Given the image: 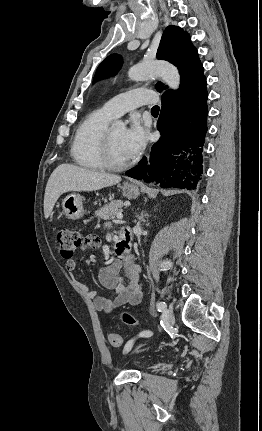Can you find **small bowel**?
I'll list each match as a JSON object with an SVG mask.
<instances>
[{
  "mask_svg": "<svg viewBox=\"0 0 262 431\" xmlns=\"http://www.w3.org/2000/svg\"><path fill=\"white\" fill-rule=\"evenodd\" d=\"M123 234L127 236L128 231L124 230ZM65 268L73 272L76 269L75 260H67ZM122 271H124L125 281L121 277ZM99 281L105 289L113 291L114 296L112 299H106L92 290L88 285L76 282V286L88 298L93 300L96 309L99 311L111 313L122 305H137L141 300L142 285L139 280V266L131 254L115 259L109 265L102 268L99 272ZM137 337L144 336L139 333Z\"/></svg>",
  "mask_w": 262,
  "mask_h": 431,
  "instance_id": "c3829d8e",
  "label": "small bowel"
}]
</instances>
